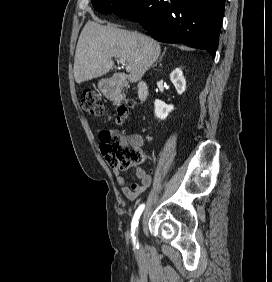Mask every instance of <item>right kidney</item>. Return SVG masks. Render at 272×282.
Segmentation results:
<instances>
[{"label": "right kidney", "mask_w": 272, "mask_h": 282, "mask_svg": "<svg viewBox=\"0 0 272 282\" xmlns=\"http://www.w3.org/2000/svg\"><path fill=\"white\" fill-rule=\"evenodd\" d=\"M170 80L175 86L178 94H182L186 89V80L180 68H176L170 74ZM174 109L173 105H167L163 101L156 99L154 102L155 115L158 119L164 120Z\"/></svg>", "instance_id": "right-kidney-1"}]
</instances>
